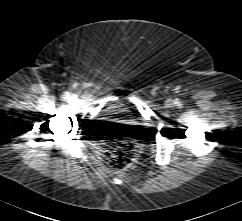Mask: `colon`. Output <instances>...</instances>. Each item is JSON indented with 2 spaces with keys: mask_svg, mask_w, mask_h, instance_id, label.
I'll use <instances>...</instances> for the list:
<instances>
[{
  "mask_svg": "<svg viewBox=\"0 0 242 221\" xmlns=\"http://www.w3.org/2000/svg\"><path fill=\"white\" fill-rule=\"evenodd\" d=\"M104 163L112 170L128 167L135 158V148L130 141L114 140L102 145Z\"/></svg>",
  "mask_w": 242,
  "mask_h": 221,
  "instance_id": "1",
  "label": "colon"
}]
</instances>
